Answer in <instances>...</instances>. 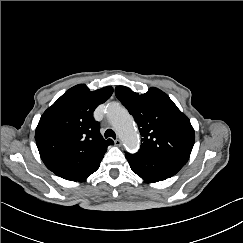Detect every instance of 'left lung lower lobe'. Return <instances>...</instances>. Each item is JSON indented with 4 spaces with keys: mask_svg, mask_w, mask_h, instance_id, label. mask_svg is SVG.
<instances>
[{
    "mask_svg": "<svg viewBox=\"0 0 243 243\" xmlns=\"http://www.w3.org/2000/svg\"><path fill=\"white\" fill-rule=\"evenodd\" d=\"M130 167L145 182H158L175 175L184 165L177 160L126 153Z\"/></svg>",
    "mask_w": 243,
    "mask_h": 243,
    "instance_id": "obj_1",
    "label": "left lung lower lobe"
}]
</instances>
